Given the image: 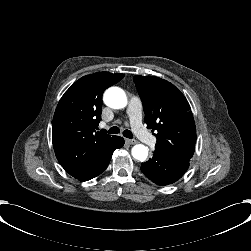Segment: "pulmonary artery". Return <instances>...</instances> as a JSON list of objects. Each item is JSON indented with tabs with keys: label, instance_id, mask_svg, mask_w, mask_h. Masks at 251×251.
<instances>
[{
	"label": "pulmonary artery",
	"instance_id": "obj_1",
	"mask_svg": "<svg viewBox=\"0 0 251 251\" xmlns=\"http://www.w3.org/2000/svg\"><path fill=\"white\" fill-rule=\"evenodd\" d=\"M126 113L128 115L130 126L136 133V136L143 144L153 145L157 143V138L144 129L143 126V107L140 100L133 97L126 104Z\"/></svg>",
	"mask_w": 251,
	"mask_h": 251
}]
</instances>
